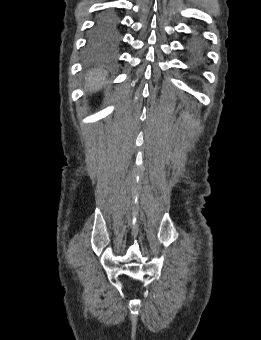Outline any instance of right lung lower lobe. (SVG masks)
I'll list each match as a JSON object with an SVG mask.
<instances>
[{
	"instance_id": "obj_1",
	"label": "right lung lower lobe",
	"mask_w": 261,
	"mask_h": 340,
	"mask_svg": "<svg viewBox=\"0 0 261 340\" xmlns=\"http://www.w3.org/2000/svg\"><path fill=\"white\" fill-rule=\"evenodd\" d=\"M106 12H109V13L115 14V13H114V11H112V10H108V11H106ZM104 13H105V12H104Z\"/></svg>"
}]
</instances>
